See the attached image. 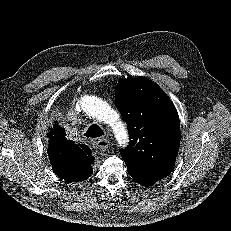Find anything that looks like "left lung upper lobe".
I'll return each mask as SVG.
<instances>
[{
  "label": "left lung upper lobe",
  "mask_w": 231,
  "mask_h": 231,
  "mask_svg": "<svg viewBox=\"0 0 231 231\" xmlns=\"http://www.w3.org/2000/svg\"><path fill=\"white\" fill-rule=\"evenodd\" d=\"M115 104L129 129V146L121 150L128 170L170 173L180 145L175 106L145 77L121 80Z\"/></svg>",
  "instance_id": "1"
}]
</instances>
